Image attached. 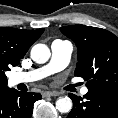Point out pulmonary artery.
Returning <instances> with one entry per match:
<instances>
[{"label": "pulmonary artery", "mask_w": 118, "mask_h": 118, "mask_svg": "<svg viewBox=\"0 0 118 118\" xmlns=\"http://www.w3.org/2000/svg\"><path fill=\"white\" fill-rule=\"evenodd\" d=\"M72 51L73 45L71 42L66 40H55L51 44V59L47 65L30 72L13 73L11 74L9 81L12 85L30 83L52 73L61 71L68 65ZM87 93L88 89L86 87L81 89L82 95H86Z\"/></svg>", "instance_id": "obj_1"}]
</instances>
